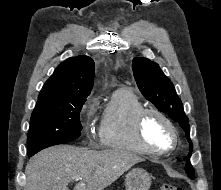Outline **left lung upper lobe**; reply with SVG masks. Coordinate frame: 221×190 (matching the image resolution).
Segmentation results:
<instances>
[{
  "mask_svg": "<svg viewBox=\"0 0 221 190\" xmlns=\"http://www.w3.org/2000/svg\"><path fill=\"white\" fill-rule=\"evenodd\" d=\"M132 70L137 86L143 96L159 110L178 122L184 129L190 143L189 156H191L193 146L189 138V120L170 79L165 76L157 63L146 58H134ZM185 171L191 179H194V171L190 160H187Z\"/></svg>",
  "mask_w": 221,
  "mask_h": 190,
  "instance_id": "obj_1",
  "label": "left lung upper lobe"
}]
</instances>
